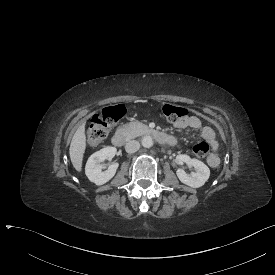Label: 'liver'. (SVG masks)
Segmentation results:
<instances>
[{
	"instance_id": "1",
	"label": "liver",
	"mask_w": 275,
	"mask_h": 275,
	"mask_svg": "<svg viewBox=\"0 0 275 275\" xmlns=\"http://www.w3.org/2000/svg\"><path fill=\"white\" fill-rule=\"evenodd\" d=\"M86 148L85 123H83L73 135L71 140L69 154L73 167L77 171L82 169L83 154Z\"/></svg>"
}]
</instances>
